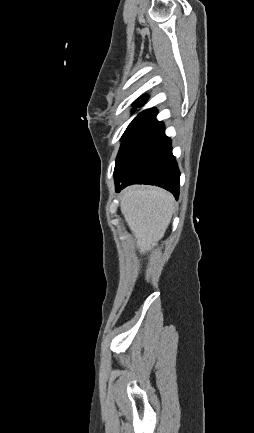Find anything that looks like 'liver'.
Returning <instances> with one entry per match:
<instances>
[{"instance_id":"1","label":"liver","mask_w":254,"mask_h":433,"mask_svg":"<svg viewBox=\"0 0 254 433\" xmlns=\"http://www.w3.org/2000/svg\"><path fill=\"white\" fill-rule=\"evenodd\" d=\"M120 208L137 248L144 254L164 236L174 211V198L156 187H129L122 193Z\"/></svg>"}]
</instances>
